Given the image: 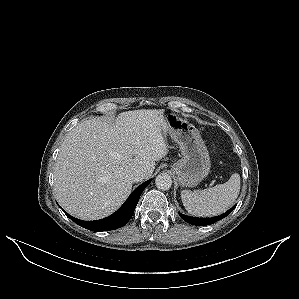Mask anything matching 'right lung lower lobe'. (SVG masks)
I'll return each instance as SVG.
<instances>
[{"instance_id":"98d812e1","label":"right lung lower lobe","mask_w":299,"mask_h":299,"mask_svg":"<svg viewBox=\"0 0 299 299\" xmlns=\"http://www.w3.org/2000/svg\"><path fill=\"white\" fill-rule=\"evenodd\" d=\"M150 182L151 179L137 187L118 211L104 219L83 221L72 217L65 211L64 213L76 224L91 231H109L120 228L131 219L143 190Z\"/></svg>"}]
</instances>
